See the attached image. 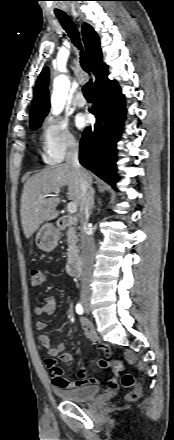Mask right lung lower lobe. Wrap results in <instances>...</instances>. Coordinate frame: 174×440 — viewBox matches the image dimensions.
<instances>
[{
    "instance_id": "obj_1",
    "label": "right lung lower lobe",
    "mask_w": 174,
    "mask_h": 440,
    "mask_svg": "<svg viewBox=\"0 0 174 440\" xmlns=\"http://www.w3.org/2000/svg\"><path fill=\"white\" fill-rule=\"evenodd\" d=\"M95 102L89 111L96 116V123L88 126L80 141V163L98 177L115 187L117 149L125 119L124 96L115 80L108 79V72L94 86Z\"/></svg>"
}]
</instances>
